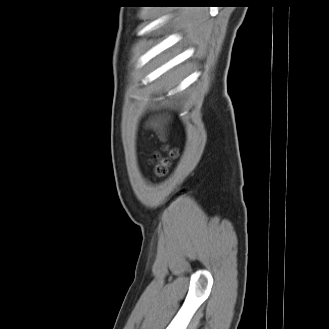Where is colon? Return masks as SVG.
<instances>
[{
	"label": "colon",
	"instance_id": "5ec220e1",
	"mask_svg": "<svg viewBox=\"0 0 329 329\" xmlns=\"http://www.w3.org/2000/svg\"><path fill=\"white\" fill-rule=\"evenodd\" d=\"M177 156L175 150H170L166 156L156 155L155 174L162 177L167 174L171 160Z\"/></svg>",
	"mask_w": 329,
	"mask_h": 329
}]
</instances>
